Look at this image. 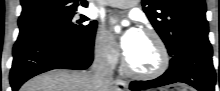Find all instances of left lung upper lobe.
<instances>
[{
	"instance_id": "obj_1",
	"label": "left lung upper lobe",
	"mask_w": 220,
	"mask_h": 91,
	"mask_svg": "<svg viewBox=\"0 0 220 91\" xmlns=\"http://www.w3.org/2000/svg\"><path fill=\"white\" fill-rule=\"evenodd\" d=\"M142 5L171 56L186 44L209 43L204 0H142Z\"/></svg>"
}]
</instances>
